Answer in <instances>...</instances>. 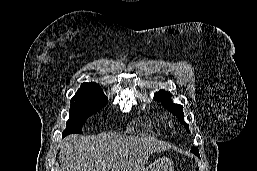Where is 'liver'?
I'll list each match as a JSON object with an SVG mask.
<instances>
[{
  "label": "liver",
  "instance_id": "6515ba94",
  "mask_svg": "<svg viewBox=\"0 0 257 171\" xmlns=\"http://www.w3.org/2000/svg\"><path fill=\"white\" fill-rule=\"evenodd\" d=\"M166 149L150 137L71 135L61 146L59 161L61 171H146L149 156Z\"/></svg>",
  "mask_w": 257,
  "mask_h": 171
}]
</instances>
